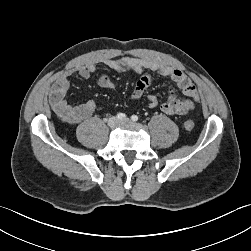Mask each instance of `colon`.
Masks as SVG:
<instances>
[{
    "instance_id": "colon-1",
    "label": "colon",
    "mask_w": 251,
    "mask_h": 251,
    "mask_svg": "<svg viewBox=\"0 0 251 251\" xmlns=\"http://www.w3.org/2000/svg\"><path fill=\"white\" fill-rule=\"evenodd\" d=\"M184 127L186 130H192L194 128V122L192 120H187L184 123Z\"/></svg>"
}]
</instances>
